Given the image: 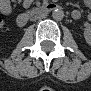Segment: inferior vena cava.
<instances>
[{
    "label": "inferior vena cava",
    "mask_w": 91,
    "mask_h": 91,
    "mask_svg": "<svg viewBox=\"0 0 91 91\" xmlns=\"http://www.w3.org/2000/svg\"><path fill=\"white\" fill-rule=\"evenodd\" d=\"M45 13H43V12H40V13H37V14H34V15H32V20H40V19H43V18H45Z\"/></svg>",
    "instance_id": "602c4592"
}]
</instances>
